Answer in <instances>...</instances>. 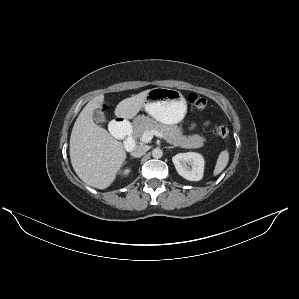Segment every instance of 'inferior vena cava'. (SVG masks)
<instances>
[{"instance_id":"602c4592","label":"inferior vena cava","mask_w":299,"mask_h":299,"mask_svg":"<svg viewBox=\"0 0 299 299\" xmlns=\"http://www.w3.org/2000/svg\"><path fill=\"white\" fill-rule=\"evenodd\" d=\"M148 151L147 145H138L131 151L133 157H141Z\"/></svg>"}]
</instances>
